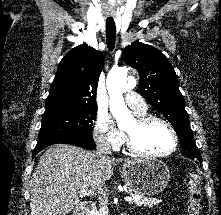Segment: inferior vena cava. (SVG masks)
I'll list each match as a JSON object with an SVG mask.
<instances>
[{
    "instance_id": "602c4592",
    "label": "inferior vena cava",
    "mask_w": 221,
    "mask_h": 215,
    "mask_svg": "<svg viewBox=\"0 0 221 215\" xmlns=\"http://www.w3.org/2000/svg\"><path fill=\"white\" fill-rule=\"evenodd\" d=\"M96 152L99 157H101V158L106 157L108 155H111V146L108 142L98 140L97 146H96ZM104 185L105 184H102L97 188V192L99 194L105 195L104 190H103Z\"/></svg>"
}]
</instances>
